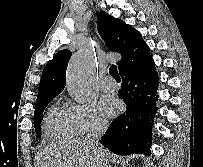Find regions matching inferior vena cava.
Listing matches in <instances>:
<instances>
[{"mask_svg": "<svg viewBox=\"0 0 203 167\" xmlns=\"http://www.w3.org/2000/svg\"><path fill=\"white\" fill-rule=\"evenodd\" d=\"M107 127H108V124L105 121L96 120L91 130L86 135L84 139L85 142L88 143L93 149L99 152H102L99 146V140L102 137V135L105 133ZM102 164H103L102 166L108 167L106 163L102 162Z\"/></svg>", "mask_w": 203, "mask_h": 167, "instance_id": "1", "label": "inferior vena cava"}]
</instances>
